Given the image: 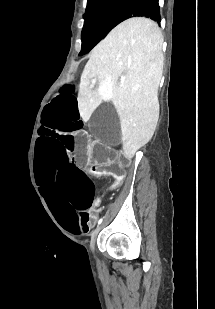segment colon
I'll return each instance as SVG.
<instances>
[{
  "label": "colon",
  "mask_w": 215,
  "mask_h": 309,
  "mask_svg": "<svg viewBox=\"0 0 215 309\" xmlns=\"http://www.w3.org/2000/svg\"><path fill=\"white\" fill-rule=\"evenodd\" d=\"M92 162L97 166V170L112 176L113 183L111 189L117 188L123 183L125 177V170L123 166L115 161L101 160L100 157H92Z\"/></svg>",
  "instance_id": "5ec220e1"
}]
</instances>
